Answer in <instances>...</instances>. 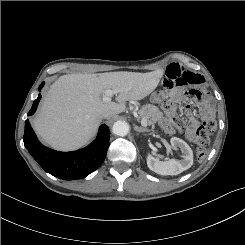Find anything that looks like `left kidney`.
Wrapping results in <instances>:
<instances>
[{
	"instance_id": "obj_1",
	"label": "left kidney",
	"mask_w": 245,
	"mask_h": 245,
	"mask_svg": "<svg viewBox=\"0 0 245 245\" xmlns=\"http://www.w3.org/2000/svg\"><path fill=\"white\" fill-rule=\"evenodd\" d=\"M171 146L179 148L182 152V160L169 159L160 161L151 154L147 155V166L150 170L160 175H177L189 169L193 165V152L190 146L182 139L172 137Z\"/></svg>"
}]
</instances>
